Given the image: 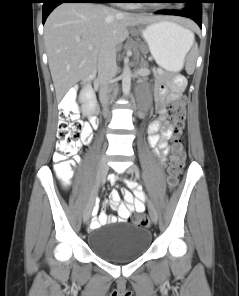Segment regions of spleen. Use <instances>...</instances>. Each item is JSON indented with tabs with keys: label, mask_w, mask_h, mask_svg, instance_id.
Returning a JSON list of instances; mask_svg holds the SVG:
<instances>
[{
	"label": "spleen",
	"mask_w": 239,
	"mask_h": 296,
	"mask_svg": "<svg viewBox=\"0 0 239 296\" xmlns=\"http://www.w3.org/2000/svg\"><path fill=\"white\" fill-rule=\"evenodd\" d=\"M189 37H190L191 42H192V44H193V41H194V34H193L191 31H189ZM192 44H191V46H192ZM191 46H190V47H191ZM189 49H190V48H189ZM195 56H196V52H195V49H194L193 52H192V54H191V57H190V59H189V61H188V63H187V66H186V70H187V72L190 73V74L194 71Z\"/></svg>",
	"instance_id": "1"
}]
</instances>
